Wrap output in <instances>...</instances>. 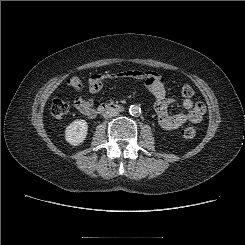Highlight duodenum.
Returning <instances> with one entry per match:
<instances>
[{
	"mask_svg": "<svg viewBox=\"0 0 245 245\" xmlns=\"http://www.w3.org/2000/svg\"><path fill=\"white\" fill-rule=\"evenodd\" d=\"M123 110H124V107L121 104L113 103V102H106V103H102L101 105H99L95 113H103L105 111L122 112Z\"/></svg>",
	"mask_w": 245,
	"mask_h": 245,
	"instance_id": "410a0bca",
	"label": "duodenum"
}]
</instances>
